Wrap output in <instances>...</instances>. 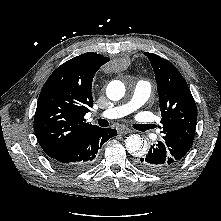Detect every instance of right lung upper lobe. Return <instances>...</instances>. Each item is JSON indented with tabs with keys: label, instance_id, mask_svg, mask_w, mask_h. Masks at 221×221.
Returning <instances> with one entry per match:
<instances>
[{
	"label": "right lung upper lobe",
	"instance_id": "obj_1",
	"mask_svg": "<svg viewBox=\"0 0 221 221\" xmlns=\"http://www.w3.org/2000/svg\"><path fill=\"white\" fill-rule=\"evenodd\" d=\"M108 61L100 54H82L59 66L44 84L34 116V131L49 157L96 127L87 123L84 116L93 107V77Z\"/></svg>",
	"mask_w": 221,
	"mask_h": 221
}]
</instances>
